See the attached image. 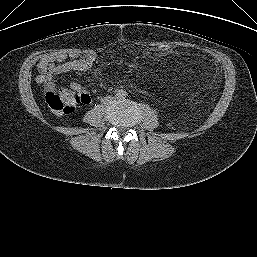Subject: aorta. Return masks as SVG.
Returning a JSON list of instances; mask_svg holds the SVG:
<instances>
[{"label": "aorta", "instance_id": "1", "mask_svg": "<svg viewBox=\"0 0 257 257\" xmlns=\"http://www.w3.org/2000/svg\"><path fill=\"white\" fill-rule=\"evenodd\" d=\"M127 95L128 94H127L126 90H123V89L118 90L116 93V96L118 99H124L127 97Z\"/></svg>", "mask_w": 257, "mask_h": 257}]
</instances>
